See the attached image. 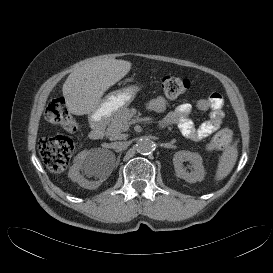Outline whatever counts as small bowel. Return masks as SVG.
I'll return each instance as SVG.
<instances>
[{
    "instance_id": "c3829d8e",
    "label": "small bowel",
    "mask_w": 273,
    "mask_h": 273,
    "mask_svg": "<svg viewBox=\"0 0 273 273\" xmlns=\"http://www.w3.org/2000/svg\"><path fill=\"white\" fill-rule=\"evenodd\" d=\"M224 104L220 93L212 92L197 101V108L201 111H209L206 121L196 125L189 118L191 106L187 103L179 105L168 117V122L175 124L182 133L192 140H202L216 132L224 119L222 110ZM147 108L152 112H162L166 109V100L163 97H155L148 101Z\"/></svg>"
}]
</instances>
